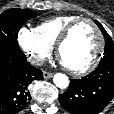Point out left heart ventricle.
Here are the masks:
<instances>
[{"instance_id": "obj_1", "label": "left heart ventricle", "mask_w": 114, "mask_h": 114, "mask_svg": "<svg viewBox=\"0 0 114 114\" xmlns=\"http://www.w3.org/2000/svg\"><path fill=\"white\" fill-rule=\"evenodd\" d=\"M98 45L99 39L93 26L81 22L62 46L60 59L68 67L83 68L94 58Z\"/></svg>"}]
</instances>
